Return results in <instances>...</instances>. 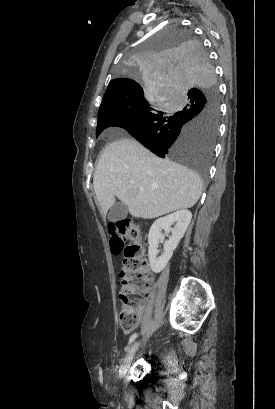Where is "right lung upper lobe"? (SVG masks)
I'll use <instances>...</instances> for the list:
<instances>
[{
    "label": "right lung upper lobe",
    "mask_w": 275,
    "mask_h": 409,
    "mask_svg": "<svg viewBox=\"0 0 275 409\" xmlns=\"http://www.w3.org/2000/svg\"><path fill=\"white\" fill-rule=\"evenodd\" d=\"M137 96H144V90L139 83L131 79H114L108 85L99 112L115 106L121 100Z\"/></svg>",
    "instance_id": "obj_1"
}]
</instances>
